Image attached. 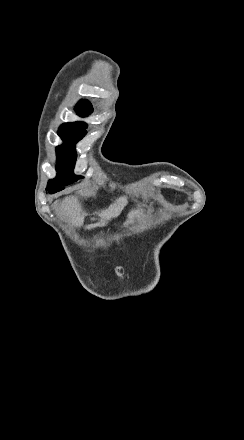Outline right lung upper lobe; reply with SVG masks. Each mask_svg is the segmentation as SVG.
Masks as SVG:
<instances>
[{
    "label": "right lung upper lobe",
    "instance_id": "right-lung-upper-lobe-1",
    "mask_svg": "<svg viewBox=\"0 0 244 440\" xmlns=\"http://www.w3.org/2000/svg\"><path fill=\"white\" fill-rule=\"evenodd\" d=\"M76 110H93L92 105L87 100H82L79 102V106L76 107Z\"/></svg>",
    "mask_w": 244,
    "mask_h": 440
}]
</instances>
